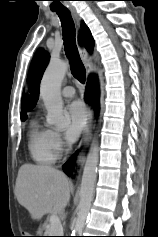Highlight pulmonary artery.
<instances>
[{
	"instance_id": "e3ab8cb5",
	"label": "pulmonary artery",
	"mask_w": 158,
	"mask_h": 237,
	"mask_svg": "<svg viewBox=\"0 0 158 237\" xmlns=\"http://www.w3.org/2000/svg\"><path fill=\"white\" fill-rule=\"evenodd\" d=\"M61 94L66 98H72L75 95V89L72 86H66L62 89Z\"/></svg>"
}]
</instances>
